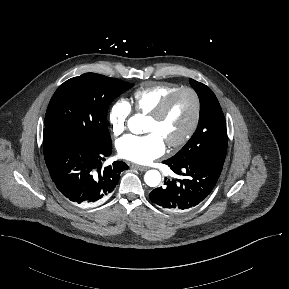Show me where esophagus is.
Masks as SVG:
<instances>
[{
	"label": "esophagus",
	"instance_id": "esophagus-1",
	"mask_svg": "<svg viewBox=\"0 0 289 289\" xmlns=\"http://www.w3.org/2000/svg\"><path fill=\"white\" fill-rule=\"evenodd\" d=\"M132 167H134L140 171H146L149 169L147 166H141V165H137V164H133Z\"/></svg>",
	"mask_w": 289,
	"mask_h": 289
}]
</instances>
